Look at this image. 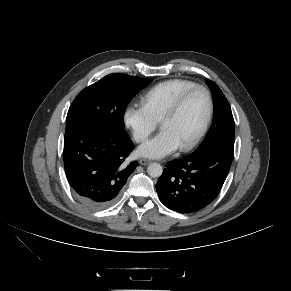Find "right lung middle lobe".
<instances>
[{"mask_svg":"<svg viewBox=\"0 0 291 291\" xmlns=\"http://www.w3.org/2000/svg\"><path fill=\"white\" fill-rule=\"evenodd\" d=\"M151 79L109 74L83 89L69 108L66 130L100 126L124 130V112L134 95Z\"/></svg>","mask_w":291,"mask_h":291,"instance_id":"obj_1","label":"right lung middle lobe"}]
</instances>
